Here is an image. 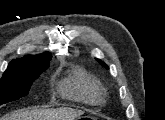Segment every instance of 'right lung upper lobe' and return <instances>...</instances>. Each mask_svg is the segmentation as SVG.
<instances>
[{
	"instance_id": "right-lung-upper-lobe-1",
	"label": "right lung upper lobe",
	"mask_w": 165,
	"mask_h": 120,
	"mask_svg": "<svg viewBox=\"0 0 165 120\" xmlns=\"http://www.w3.org/2000/svg\"><path fill=\"white\" fill-rule=\"evenodd\" d=\"M50 59L51 55L48 52L39 55H30L12 60L9 63L8 67L17 66L21 64H49Z\"/></svg>"
}]
</instances>
